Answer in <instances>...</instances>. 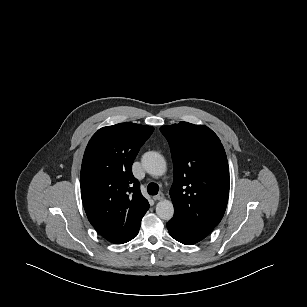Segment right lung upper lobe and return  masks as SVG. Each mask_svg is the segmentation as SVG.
Segmentation results:
<instances>
[{"label": "right lung upper lobe", "mask_w": 307, "mask_h": 307, "mask_svg": "<svg viewBox=\"0 0 307 307\" xmlns=\"http://www.w3.org/2000/svg\"><path fill=\"white\" fill-rule=\"evenodd\" d=\"M154 128L120 123L90 139L81 167V197L92 226L108 241L126 243L149 209L132 174L133 161Z\"/></svg>", "instance_id": "obj_1"}]
</instances>
